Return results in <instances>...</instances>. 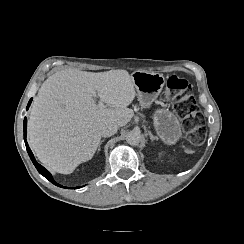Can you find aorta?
Wrapping results in <instances>:
<instances>
[{
  "label": "aorta",
  "instance_id": "aorta-1",
  "mask_svg": "<svg viewBox=\"0 0 244 244\" xmlns=\"http://www.w3.org/2000/svg\"><path fill=\"white\" fill-rule=\"evenodd\" d=\"M141 140V135L137 131H130L126 135V141L130 145H138Z\"/></svg>",
  "mask_w": 244,
  "mask_h": 244
}]
</instances>
